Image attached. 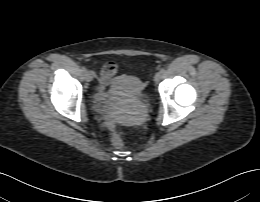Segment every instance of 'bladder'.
Segmentation results:
<instances>
[{"instance_id":"bladder-1","label":"bladder","mask_w":260,"mask_h":202,"mask_svg":"<svg viewBox=\"0 0 260 202\" xmlns=\"http://www.w3.org/2000/svg\"><path fill=\"white\" fill-rule=\"evenodd\" d=\"M140 87L141 82L138 78L131 75H120L112 81L108 94L115 98L134 101L137 99ZM143 113L144 109L140 108L138 114L142 116Z\"/></svg>"}]
</instances>
